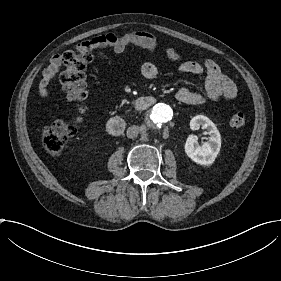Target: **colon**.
I'll return each mask as SVG.
<instances>
[{"label": "colon", "instance_id": "1", "mask_svg": "<svg viewBox=\"0 0 281 281\" xmlns=\"http://www.w3.org/2000/svg\"><path fill=\"white\" fill-rule=\"evenodd\" d=\"M104 37H96L79 43L75 49L62 55L66 69L60 75V81L68 102L65 114L56 119L42 134L45 149L51 156H58L67 143L74 138L85 124L83 104L88 98V76L86 67L95 59L103 58L104 50L111 49L104 44ZM246 116L236 112L231 116V125L244 127Z\"/></svg>", "mask_w": 281, "mask_h": 281}]
</instances>
